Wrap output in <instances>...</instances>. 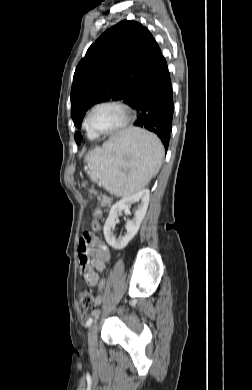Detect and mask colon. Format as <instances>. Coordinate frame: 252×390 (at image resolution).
Instances as JSON below:
<instances>
[{
	"instance_id": "5ec220e1",
	"label": "colon",
	"mask_w": 252,
	"mask_h": 390,
	"mask_svg": "<svg viewBox=\"0 0 252 390\" xmlns=\"http://www.w3.org/2000/svg\"><path fill=\"white\" fill-rule=\"evenodd\" d=\"M102 218V211L96 208L93 214L92 228L94 231L100 230L99 220ZM88 257L84 255L81 259V274L87 279L90 276V271L86 267ZM79 302L83 309H91L95 305V297L89 290L83 291L79 296Z\"/></svg>"
}]
</instances>
